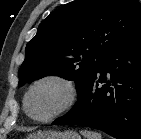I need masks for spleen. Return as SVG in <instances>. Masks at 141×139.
Segmentation results:
<instances>
[{
    "label": "spleen",
    "mask_w": 141,
    "mask_h": 139,
    "mask_svg": "<svg viewBox=\"0 0 141 139\" xmlns=\"http://www.w3.org/2000/svg\"><path fill=\"white\" fill-rule=\"evenodd\" d=\"M81 134L86 138V139H102L101 134L98 132H93V131H81Z\"/></svg>",
    "instance_id": "spleen-1"
}]
</instances>
